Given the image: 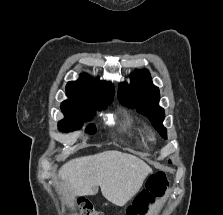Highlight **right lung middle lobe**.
<instances>
[{
    "label": "right lung middle lobe",
    "mask_w": 223,
    "mask_h": 215,
    "mask_svg": "<svg viewBox=\"0 0 223 215\" xmlns=\"http://www.w3.org/2000/svg\"><path fill=\"white\" fill-rule=\"evenodd\" d=\"M62 112L65 119L58 123V128L62 132H71L79 129L83 121L91 119L93 108H62ZM86 131L93 134L95 133V128L90 125Z\"/></svg>",
    "instance_id": "dd1d6c3e"
}]
</instances>
